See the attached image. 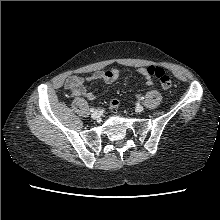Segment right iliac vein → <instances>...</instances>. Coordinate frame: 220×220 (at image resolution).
<instances>
[{"label": "right iliac vein", "mask_w": 220, "mask_h": 220, "mask_svg": "<svg viewBox=\"0 0 220 220\" xmlns=\"http://www.w3.org/2000/svg\"><path fill=\"white\" fill-rule=\"evenodd\" d=\"M91 117L95 120H97L100 117V114L98 111H94L91 115Z\"/></svg>", "instance_id": "right-iliac-vein-1"}]
</instances>
